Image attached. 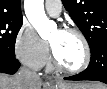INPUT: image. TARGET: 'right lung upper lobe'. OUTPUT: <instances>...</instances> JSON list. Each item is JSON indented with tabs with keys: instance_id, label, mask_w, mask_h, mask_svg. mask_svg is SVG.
<instances>
[{
	"instance_id": "cb5924a9",
	"label": "right lung upper lobe",
	"mask_w": 107,
	"mask_h": 89,
	"mask_svg": "<svg viewBox=\"0 0 107 89\" xmlns=\"http://www.w3.org/2000/svg\"><path fill=\"white\" fill-rule=\"evenodd\" d=\"M0 16L22 18L20 0H0Z\"/></svg>"
}]
</instances>
